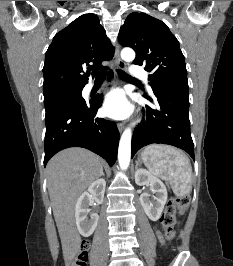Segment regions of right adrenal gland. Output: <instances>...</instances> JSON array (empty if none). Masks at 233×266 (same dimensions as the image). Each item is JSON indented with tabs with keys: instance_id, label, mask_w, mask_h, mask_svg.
<instances>
[{
	"instance_id": "obj_1",
	"label": "right adrenal gland",
	"mask_w": 233,
	"mask_h": 266,
	"mask_svg": "<svg viewBox=\"0 0 233 266\" xmlns=\"http://www.w3.org/2000/svg\"><path fill=\"white\" fill-rule=\"evenodd\" d=\"M100 176H104V172L103 171L101 172Z\"/></svg>"
}]
</instances>
